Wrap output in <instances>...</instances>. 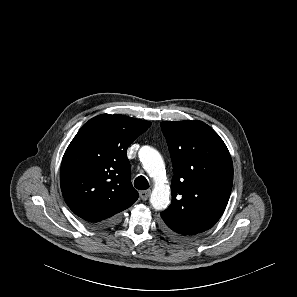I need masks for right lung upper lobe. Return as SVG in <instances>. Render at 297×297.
<instances>
[{
    "mask_svg": "<svg viewBox=\"0 0 297 297\" xmlns=\"http://www.w3.org/2000/svg\"><path fill=\"white\" fill-rule=\"evenodd\" d=\"M150 125L124 115L102 114L81 127L65 151L60 170L63 197L77 216L99 223L138 199L126 151Z\"/></svg>",
    "mask_w": 297,
    "mask_h": 297,
    "instance_id": "1",
    "label": "right lung upper lobe"
}]
</instances>
